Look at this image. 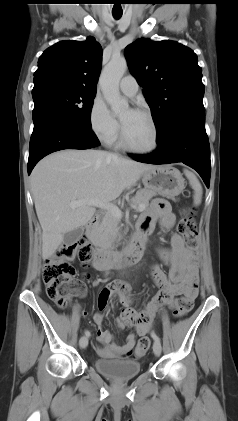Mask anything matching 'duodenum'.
Segmentation results:
<instances>
[{
  "mask_svg": "<svg viewBox=\"0 0 238 421\" xmlns=\"http://www.w3.org/2000/svg\"><path fill=\"white\" fill-rule=\"evenodd\" d=\"M98 216L90 219L86 226L88 235H92L98 224ZM145 242L140 237H135L132 244L122 251H108L103 248H97L93 258L92 265L98 270H105L112 267H119L124 265H132L137 263L143 256Z\"/></svg>",
  "mask_w": 238,
  "mask_h": 421,
  "instance_id": "obj_1",
  "label": "duodenum"
}]
</instances>
